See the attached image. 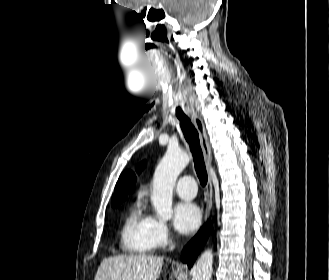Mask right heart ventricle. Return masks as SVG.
Segmentation results:
<instances>
[{"instance_id": "1", "label": "right heart ventricle", "mask_w": 329, "mask_h": 280, "mask_svg": "<svg viewBox=\"0 0 329 280\" xmlns=\"http://www.w3.org/2000/svg\"><path fill=\"white\" fill-rule=\"evenodd\" d=\"M153 217L144 210L142 200H137L129 210L121 233L122 249L128 253L146 254L155 248L151 237Z\"/></svg>"}]
</instances>
